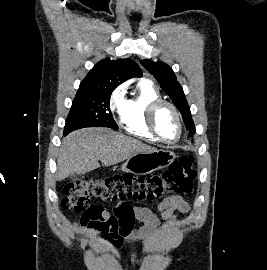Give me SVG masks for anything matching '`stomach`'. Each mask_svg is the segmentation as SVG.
I'll use <instances>...</instances> for the list:
<instances>
[{"instance_id": "0dacf381", "label": "stomach", "mask_w": 267, "mask_h": 270, "mask_svg": "<svg viewBox=\"0 0 267 270\" xmlns=\"http://www.w3.org/2000/svg\"><path fill=\"white\" fill-rule=\"evenodd\" d=\"M174 159L175 154L170 150L141 152L127 159L121 166V170L126 173L145 175L169 166Z\"/></svg>"}]
</instances>
